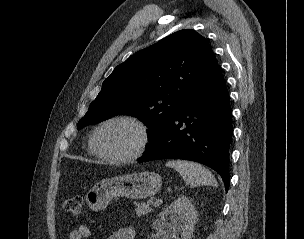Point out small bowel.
Wrapping results in <instances>:
<instances>
[{"mask_svg":"<svg viewBox=\"0 0 304 239\" xmlns=\"http://www.w3.org/2000/svg\"><path fill=\"white\" fill-rule=\"evenodd\" d=\"M134 230L132 228H122L114 232L107 239H134ZM91 231L86 225H80L70 231L66 239H87L90 238Z\"/></svg>","mask_w":304,"mask_h":239,"instance_id":"1","label":"small bowel"}]
</instances>
